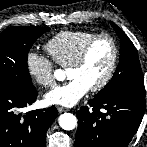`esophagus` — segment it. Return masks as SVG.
Wrapping results in <instances>:
<instances>
[{
    "label": "esophagus",
    "instance_id": "esophagus-1",
    "mask_svg": "<svg viewBox=\"0 0 147 147\" xmlns=\"http://www.w3.org/2000/svg\"><path fill=\"white\" fill-rule=\"evenodd\" d=\"M57 109H58V112H59V113H62V112L67 111V109H66V108L61 107V106L57 107Z\"/></svg>",
    "mask_w": 147,
    "mask_h": 147
}]
</instances>
